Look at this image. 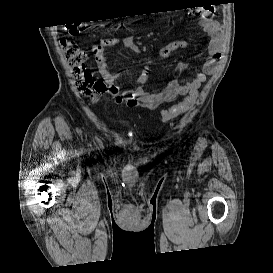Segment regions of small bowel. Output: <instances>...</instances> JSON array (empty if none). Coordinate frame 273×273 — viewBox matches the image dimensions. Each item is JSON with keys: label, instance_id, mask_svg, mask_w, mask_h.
<instances>
[{"label": "small bowel", "instance_id": "c3829d8e", "mask_svg": "<svg viewBox=\"0 0 273 273\" xmlns=\"http://www.w3.org/2000/svg\"><path fill=\"white\" fill-rule=\"evenodd\" d=\"M199 24L210 37L208 44L209 58L204 63L202 70L194 78L185 82H180L176 78L157 92H149L144 89V86L150 80V71L152 69V65L146 63L143 72L137 78V86L121 93L117 85L121 75L110 72L108 69V58L105 53V48L118 44L119 39L104 38L99 44L95 45L92 48V54L98 65L99 73L109 86L108 94L111 96L113 102L128 108L141 107L148 110H155L166 102L174 101L179 96H184L188 93L195 94L199 86L215 72L220 62L223 48V27L211 16L209 11L201 12ZM122 43L126 51L131 53L140 52L139 47L132 37L124 38ZM189 47L191 45L185 40H174L158 51V57L167 58L172 52ZM186 68L187 65L185 63H179L176 69L177 76H180Z\"/></svg>", "mask_w": 273, "mask_h": 273}]
</instances>
